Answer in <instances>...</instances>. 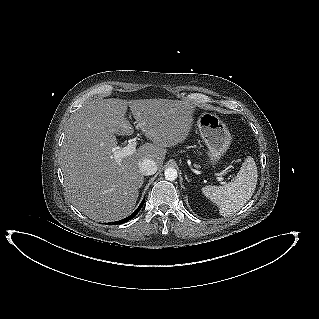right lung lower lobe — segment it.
Segmentation results:
<instances>
[{
  "label": "right lung lower lobe",
  "mask_w": 319,
  "mask_h": 319,
  "mask_svg": "<svg viewBox=\"0 0 319 319\" xmlns=\"http://www.w3.org/2000/svg\"><path fill=\"white\" fill-rule=\"evenodd\" d=\"M144 201H145V200H143V201L141 202V204L139 205V207H138L130 216H128L127 218H125V219H123V220L113 222V224H118V223L121 224V223L127 222V221L131 220L132 218H134V217L138 214V212L140 211V209L142 208V206H143V204H144Z\"/></svg>",
  "instance_id": "98d812e1"
}]
</instances>
